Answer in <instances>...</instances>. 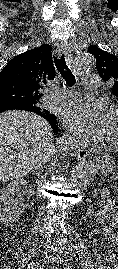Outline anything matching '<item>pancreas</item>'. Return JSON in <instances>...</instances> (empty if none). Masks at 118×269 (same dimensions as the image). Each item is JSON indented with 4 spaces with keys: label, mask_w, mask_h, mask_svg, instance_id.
<instances>
[{
    "label": "pancreas",
    "mask_w": 118,
    "mask_h": 269,
    "mask_svg": "<svg viewBox=\"0 0 118 269\" xmlns=\"http://www.w3.org/2000/svg\"><path fill=\"white\" fill-rule=\"evenodd\" d=\"M106 181H107V182H112V181H113V178H112V177H107V178H106Z\"/></svg>",
    "instance_id": "cf45deb5"
}]
</instances>
